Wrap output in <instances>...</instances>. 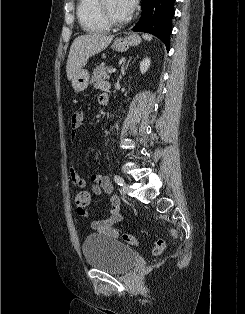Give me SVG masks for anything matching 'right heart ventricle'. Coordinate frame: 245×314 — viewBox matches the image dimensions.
Wrapping results in <instances>:
<instances>
[{
  "instance_id": "right-heart-ventricle-1",
  "label": "right heart ventricle",
  "mask_w": 245,
  "mask_h": 314,
  "mask_svg": "<svg viewBox=\"0 0 245 314\" xmlns=\"http://www.w3.org/2000/svg\"><path fill=\"white\" fill-rule=\"evenodd\" d=\"M97 0H78L77 17L82 28L89 33H102L109 29L98 17Z\"/></svg>"
}]
</instances>
